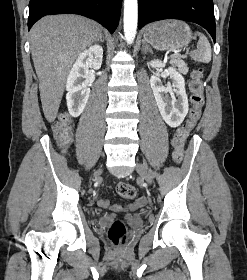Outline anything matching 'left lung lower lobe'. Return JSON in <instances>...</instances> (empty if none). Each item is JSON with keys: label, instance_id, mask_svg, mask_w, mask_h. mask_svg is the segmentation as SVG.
I'll return each instance as SVG.
<instances>
[{"label": "left lung lower lobe", "instance_id": "0a47b994", "mask_svg": "<svg viewBox=\"0 0 247 280\" xmlns=\"http://www.w3.org/2000/svg\"><path fill=\"white\" fill-rule=\"evenodd\" d=\"M138 28L163 19L197 23L216 39L213 0H138Z\"/></svg>", "mask_w": 247, "mask_h": 280}]
</instances>
